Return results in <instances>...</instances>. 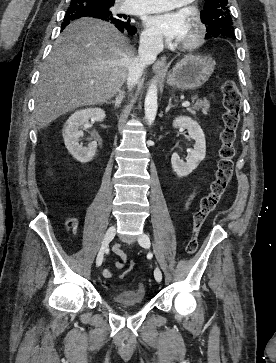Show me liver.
Listing matches in <instances>:
<instances>
[{"label": "liver", "mask_w": 276, "mask_h": 363, "mask_svg": "<svg viewBox=\"0 0 276 363\" xmlns=\"http://www.w3.org/2000/svg\"><path fill=\"white\" fill-rule=\"evenodd\" d=\"M134 56L133 47L113 24L93 18L70 23L40 70L34 110L38 128L114 97L128 78Z\"/></svg>", "instance_id": "obj_1"}]
</instances>
